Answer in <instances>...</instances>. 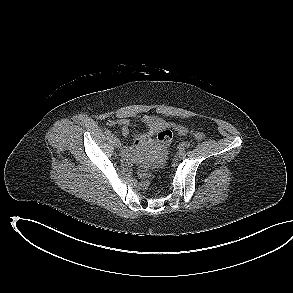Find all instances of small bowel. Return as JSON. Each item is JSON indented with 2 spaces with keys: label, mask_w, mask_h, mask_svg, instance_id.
<instances>
[{
  "label": "small bowel",
  "mask_w": 293,
  "mask_h": 293,
  "mask_svg": "<svg viewBox=\"0 0 293 293\" xmlns=\"http://www.w3.org/2000/svg\"><path fill=\"white\" fill-rule=\"evenodd\" d=\"M141 122L145 125L146 130L142 132L139 128L136 129V133L133 134V140L136 145L144 144L148 142L154 135L158 134L163 129H174L179 135L185 136L188 132L187 128L176 123L168 122L162 118L152 115H144L141 117ZM109 126H120L121 133L124 136L129 134L128 119L119 118L109 120L107 123Z\"/></svg>",
  "instance_id": "small-bowel-1"
}]
</instances>
